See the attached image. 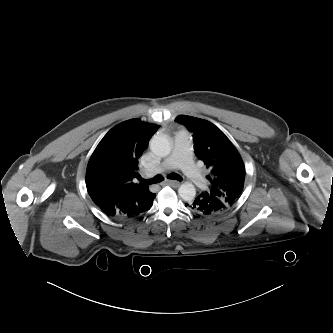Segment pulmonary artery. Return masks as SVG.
Instances as JSON below:
<instances>
[{"label": "pulmonary artery", "instance_id": "1", "mask_svg": "<svg viewBox=\"0 0 333 333\" xmlns=\"http://www.w3.org/2000/svg\"><path fill=\"white\" fill-rule=\"evenodd\" d=\"M177 167L184 171L196 187L205 186L206 179L192 160L190 136L184 130L175 134L172 154L156 166L152 173H160Z\"/></svg>", "mask_w": 333, "mask_h": 333}]
</instances>
